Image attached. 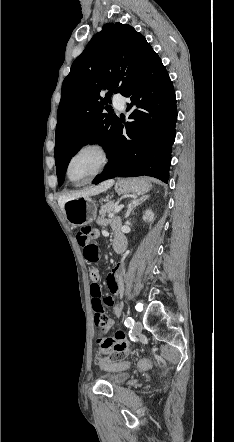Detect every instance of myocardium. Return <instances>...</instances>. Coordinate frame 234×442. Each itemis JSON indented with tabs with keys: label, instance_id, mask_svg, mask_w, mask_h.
<instances>
[{
	"label": "myocardium",
	"instance_id": "f54148a6",
	"mask_svg": "<svg viewBox=\"0 0 234 442\" xmlns=\"http://www.w3.org/2000/svg\"><path fill=\"white\" fill-rule=\"evenodd\" d=\"M84 150H95L100 155V162L96 170L92 173L91 176H89L87 179L81 182L74 181L70 176V164L73 158L79 154L80 152ZM111 159L110 151L107 145L101 141H90L87 143H84L77 147L69 156L67 163H66V176L70 182H72L75 185H84L89 182H91L96 176H98L103 170L107 167Z\"/></svg>",
	"mask_w": 234,
	"mask_h": 442
}]
</instances>
